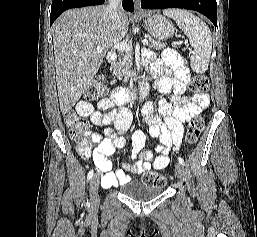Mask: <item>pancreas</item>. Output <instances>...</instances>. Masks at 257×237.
Instances as JSON below:
<instances>
[{"label": "pancreas", "mask_w": 257, "mask_h": 237, "mask_svg": "<svg viewBox=\"0 0 257 237\" xmlns=\"http://www.w3.org/2000/svg\"><path fill=\"white\" fill-rule=\"evenodd\" d=\"M149 49L154 50H160L162 48H165L166 45L164 43H161L160 41L154 40L152 38H149ZM132 52L131 51H125L122 56L120 57L119 61L116 63H112L111 70L113 71V75L119 79L123 80L124 83H127L129 80V77L132 75Z\"/></svg>", "instance_id": "obj_1"}]
</instances>
